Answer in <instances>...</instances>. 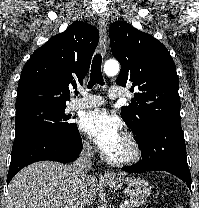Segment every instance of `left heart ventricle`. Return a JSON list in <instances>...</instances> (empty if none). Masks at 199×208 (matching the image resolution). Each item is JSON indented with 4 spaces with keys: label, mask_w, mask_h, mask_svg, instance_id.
I'll list each match as a JSON object with an SVG mask.
<instances>
[{
    "label": "left heart ventricle",
    "mask_w": 199,
    "mask_h": 208,
    "mask_svg": "<svg viewBox=\"0 0 199 208\" xmlns=\"http://www.w3.org/2000/svg\"><path fill=\"white\" fill-rule=\"evenodd\" d=\"M130 153H131L130 147L127 145L124 139H122L121 142L111 151L109 156L114 158H124L129 156Z\"/></svg>",
    "instance_id": "1"
}]
</instances>
